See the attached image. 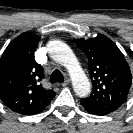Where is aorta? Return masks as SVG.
Instances as JSON below:
<instances>
[{
    "mask_svg": "<svg viewBox=\"0 0 133 133\" xmlns=\"http://www.w3.org/2000/svg\"><path fill=\"white\" fill-rule=\"evenodd\" d=\"M47 49L51 58L68 70L75 93L79 97L88 96L90 82L71 48L60 40H52L47 44Z\"/></svg>",
    "mask_w": 133,
    "mask_h": 133,
    "instance_id": "aorta-1",
    "label": "aorta"
}]
</instances>
